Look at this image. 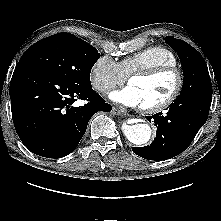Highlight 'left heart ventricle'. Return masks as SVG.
Listing matches in <instances>:
<instances>
[{
  "mask_svg": "<svg viewBox=\"0 0 221 221\" xmlns=\"http://www.w3.org/2000/svg\"><path fill=\"white\" fill-rule=\"evenodd\" d=\"M176 76L172 73L151 78H133L129 84L138 92L141 106H150L166 99L174 90Z\"/></svg>",
  "mask_w": 221,
  "mask_h": 221,
  "instance_id": "left-heart-ventricle-1",
  "label": "left heart ventricle"
}]
</instances>
